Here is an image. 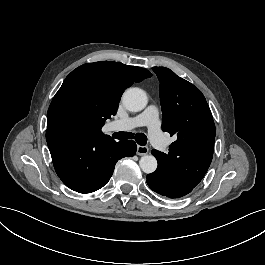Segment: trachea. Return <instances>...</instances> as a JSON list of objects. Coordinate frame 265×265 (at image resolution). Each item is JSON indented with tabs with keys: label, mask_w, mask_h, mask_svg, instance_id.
I'll return each mask as SVG.
<instances>
[{
	"label": "trachea",
	"mask_w": 265,
	"mask_h": 265,
	"mask_svg": "<svg viewBox=\"0 0 265 265\" xmlns=\"http://www.w3.org/2000/svg\"><path fill=\"white\" fill-rule=\"evenodd\" d=\"M116 139H131L134 137V134L131 132H116L114 134ZM135 141L139 144V145H146L147 143V136L144 133H137L135 135Z\"/></svg>",
	"instance_id": "obj_1"
}]
</instances>
